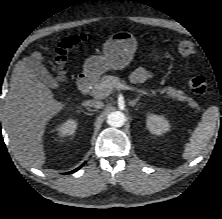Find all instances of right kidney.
I'll list each match as a JSON object with an SVG mask.
<instances>
[{
	"label": "right kidney",
	"instance_id": "1",
	"mask_svg": "<svg viewBox=\"0 0 222 219\" xmlns=\"http://www.w3.org/2000/svg\"><path fill=\"white\" fill-rule=\"evenodd\" d=\"M76 129L77 121L73 119H68L57 128V131L61 137H66L73 135Z\"/></svg>",
	"mask_w": 222,
	"mask_h": 219
}]
</instances>
